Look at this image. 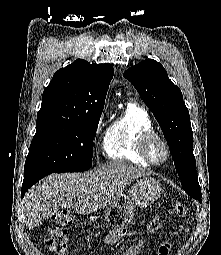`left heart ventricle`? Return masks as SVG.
Wrapping results in <instances>:
<instances>
[{"label": "left heart ventricle", "mask_w": 221, "mask_h": 255, "mask_svg": "<svg viewBox=\"0 0 221 255\" xmlns=\"http://www.w3.org/2000/svg\"><path fill=\"white\" fill-rule=\"evenodd\" d=\"M151 155L156 162H161L165 157V152L161 144L157 141L153 142L150 148Z\"/></svg>", "instance_id": "b2bd125f"}]
</instances>
